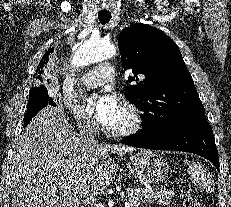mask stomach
Returning <instances> with one entry per match:
<instances>
[{
    "label": "stomach",
    "mask_w": 231,
    "mask_h": 207,
    "mask_svg": "<svg viewBox=\"0 0 231 207\" xmlns=\"http://www.w3.org/2000/svg\"><path fill=\"white\" fill-rule=\"evenodd\" d=\"M129 170L141 184H158L168 175L169 165L159 154L143 149L131 155Z\"/></svg>",
    "instance_id": "stomach-1"
}]
</instances>
